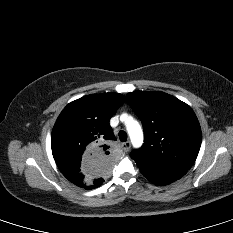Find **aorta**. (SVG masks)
I'll return each mask as SVG.
<instances>
[{
  "label": "aorta",
  "instance_id": "obj_1",
  "mask_svg": "<svg viewBox=\"0 0 233 233\" xmlns=\"http://www.w3.org/2000/svg\"><path fill=\"white\" fill-rule=\"evenodd\" d=\"M126 128L131 142L135 148H139L143 143V131L136 120L132 118L126 121Z\"/></svg>",
  "mask_w": 233,
  "mask_h": 233
}]
</instances>
